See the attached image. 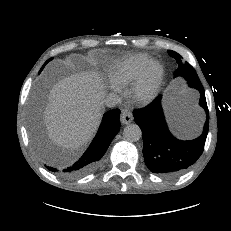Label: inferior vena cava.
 Masks as SVG:
<instances>
[{
  "label": "inferior vena cava",
  "instance_id": "1",
  "mask_svg": "<svg viewBox=\"0 0 231 231\" xmlns=\"http://www.w3.org/2000/svg\"><path fill=\"white\" fill-rule=\"evenodd\" d=\"M120 103V98L117 94L109 93L104 97V104L108 107H114Z\"/></svg>",
  "mask_w": 231,
  "mask_h": 231
}]
</instances>
